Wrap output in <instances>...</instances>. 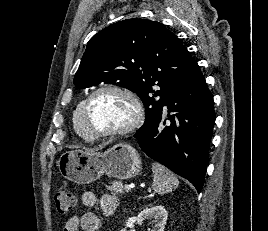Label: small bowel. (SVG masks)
<instances>
[{"label": "small bowel", "instance_id": "c3829d8e", "mask_svg": "<svg viewBox=\"0 0 268 231\" xmlns=\"http://www.w3.org/2000/svg\"><path fill=\"white\" fill-rule=\"evenodd\" d=\"M81 203L85 207L98 205L102 214L109 217L118 208V199L114 195L104 194L100 199L91 191L81 194ZM101 224V218L93 212H86L80 216H73L65 224L63 231H96Z\"/></svg>", "mask_w": 268, "mask_h": 231}]
</instances>
